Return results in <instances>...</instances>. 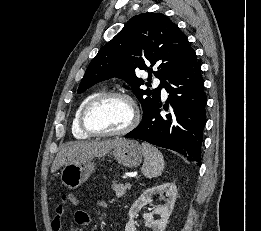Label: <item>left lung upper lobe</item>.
<instances>
[{"label":"left lung upper lobe","mask_w":261,"mask_h":231,"mask_svg":"<svg viewBox=\"0 0 261 231\" xmlns=\"http://www.w3.org/2000/svg\"><path fill=\"white\" fill-rule=\"evenodd\" d=\"M196 56L185 34L165 15L145 13L132 17L124 28L104 45L89 64L78 88L82 93L92 85L119 77L132 86L141 102L143 114L160 101V91L171 76L186 68ZM161 80L153 92L140 89L148 84L137 78L135 72L147 70Z\"/></svg>","instance_id":"5c2ea615"}]
</instances>
